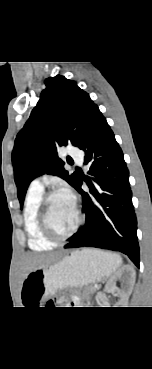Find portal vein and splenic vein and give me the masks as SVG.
<instances>
[{
	"instance_id": "obj_1",
	"label": "portal vein and splenic vein",
	"mask_w": 152,
	"mask_h": 369,
	"mask_svg": "<svg viewBox=\"0 0 152 369\" xmlns=\"http://www.w3.org/2000/svg\"><path fill=\"white\" fill-rule=\"evenodd\" d=\"M94 289L96 290L97 289V286H95Z\"/></svg>"
}]
</instances>
